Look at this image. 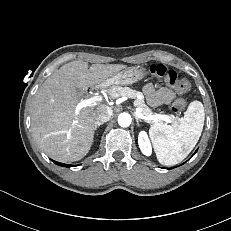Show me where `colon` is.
Segmentation results:
<instances>
[{
    "instance_id": "1",
    "label": "colon",
    "mask_w": 231,
    "mask_h": 231,
    "mask_svg": "<svg viewBox=\"0 0 231 231\" xmlns=\"http://www.w3.org/2000/svg\"><path fill=\"white\" fill-rule=\"evenodd\" d=\"M148 73L152 76L161 78L167 85L176 90L179 94L186 93L190 90L191 84L187 78L179 77L176 71L170 70L162 64L151 65L148 69ZM187 100L179 97L172 104V111L174 113H180L185 109Z\"/></svg>"
}]
</instances>
